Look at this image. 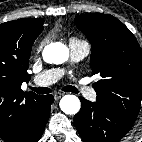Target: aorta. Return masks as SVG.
<instances>
[{
  "instance_id": "762f6f07",
  "label": "aorta",
  "mask_w": 142,
  "mask_h": 142,
  "mask_svg": "<svg viewBox=\"0 0 142 142\" xmlns=\"http://www.w3.org/2000/svg\"><path fill=\"white\" fill-rule=\"evenodd\" d=\"M69 57L68 48L61 43H52L43 50V59L47 63L61 64ZM60 109L68 115H74L79 112L81 103L75 95H65L60 100Z\"/></svg>"
}]
</instances>
